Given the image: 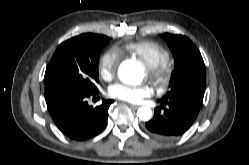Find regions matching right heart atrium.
I'll use <instances>...</instances> for the list:
<instances>
[{
    "instance_id": "d8ad5b80",
    "label": "right heart atrium",
    "mask_w": 249,
    "mask_h": 165,
    "mask_svg": "<svg viewBox=\"0 0 249 165\" xmlns=\"http://www.w3.org/2000/svg\"><path fill=\"white\" fill-rule=\"evenodd\" d=\"M120 56L115 48L107 50L99 61V74L104 80H110L114 77Z\"/></svg>"
}]
</instances>
